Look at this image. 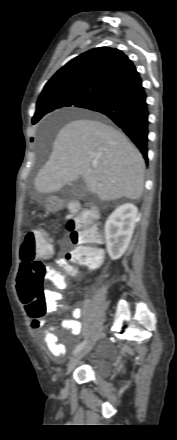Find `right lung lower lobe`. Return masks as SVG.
I'll return each instance as SVG.
<instances>
[{"label": "right lung lower lobe", "instance_id": "1", "mask_svg": "<svg viewBox=\"0 0 177 440\" xmlns=\"http://www.w3.org/2000/svg\"><path fill=\"white\" fill-rule=\"evenodd\" d=\"M86 109L109 117L135 143L147 161L148 108L140 76L107 93Z\"/></svg>", "mask_w": 177, "mask_h": 440}]
</instances>
